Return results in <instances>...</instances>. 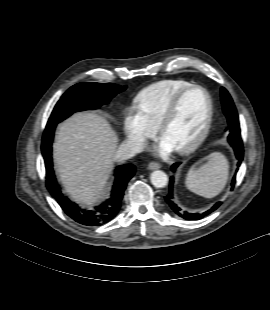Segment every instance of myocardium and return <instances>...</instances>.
<instances>
[{"label":"myocardium","instance_id":"1","mask_svg":"<svg viewBox=\"0 0 270 310\" xmlns=\"http://www.w3.org/2000/svg\"><path fill=\"white\" fill-rule=\"evenodd\" d=\"M195 91H200L202 92L207 100V112L205 116V120L203 122V125L198 132V134L193 137L191 140L183 144L181 147L177 148L176 151L180 154H188L192 151H194L196 148L199 147V145L205 140L207 137L212 119H213V111H214V106H213V100L206 88L200 85H191L187 87L186 89L182 90L179 92L170 102L168 107L166 108L165 112L163 113L160 122L158 124V132L162 136L165 128L167 125L170 123V121L173 119L175 114L177 113L179 106L182 102V100L191 92Z\"/></svg>","mask_w":270,"mask_h":310}]
</instances>
